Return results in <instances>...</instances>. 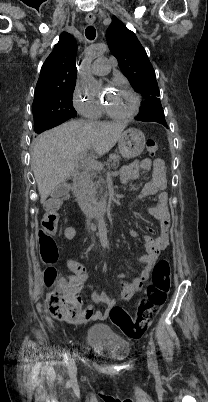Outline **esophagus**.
I'll list each match as a JSON object with an SVG mask.
<instances>
[{
	"label": "esophagus",
	"instance_id": "obj_1",
	"mask_svg": "<svg viewBox=\"0 0 208 402\" xmlns=\"http://www.w3.org/2000/svg\"><path fill=\"white\" fill-rule=\"evenodd\" d=\"M85 20L89 25H91V24H93L95 22L96 17H95V15L93 13H88L86 15V17H85Z\"/></svg>",
	"mask_w": 208,
	"mask_h": 402
}]
</instances>
